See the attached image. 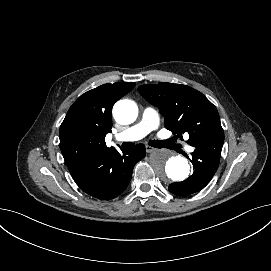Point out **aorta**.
<instances>
[{"mask_svg":"<svg viewBox=\"0 0 271 271\" xmlns=\"http://www.w3.org/2000/svg\"><path fill=\"white\" fill-rule=\"evenodd\" d=\"M113 115L121 124H131L138 116V107L131 100H120L113 107ZM150 164L162 180L182 181L190 174L188 160L169 150H160L151 154Z\"/></svg>","mask_w":271,"mask_h":271,"instance_id":"obj_1","label":"aorta"}]
</instances>
